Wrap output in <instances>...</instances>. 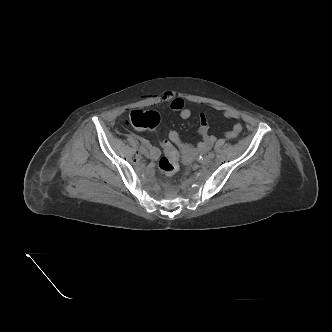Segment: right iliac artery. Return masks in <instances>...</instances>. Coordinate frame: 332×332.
I'll return each mask as SVG.
<instances>
[{
	"instance_id": "82829eb1",
	"label": "right iliac artery",
	"mask_w": 332,
	"mask_h": 332,
	"mask_svg": "<svg viewBox=\"0 0 332 332\" xmlns=\"http://www.w3.org/2000/svg\"><path fill=\"white\" fill-rule=\"evenodd\" d=\"M141 145L145 146V147H148V143L145 140H141Z\"/></svg>"
}]
</instances>
